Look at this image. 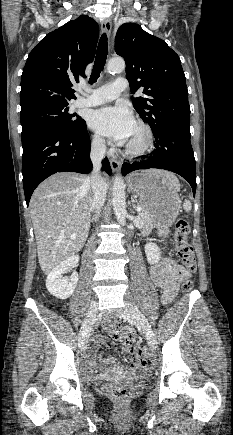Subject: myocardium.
Returning <instances> with one entry per match:
<instances>
[{"label":"myocardium","mask_w":233,"mask_h":435,"mask_svg":"<svg viewBox=\"0 0 233 435\" xmlns=\"http://www.w3.org/2000/svg\"><path fill=\"white\" fill-rule=\"evenodd\" d=\"M135 126L142 130L144 134V140L141 144L137 146H133L130 144H126L123 150V153L131 158L139 157L146 154L153 145L154 142V134L149 125L144 123L143 121H136Z\"/></svg>","instance_id":"obj_1"}]
</instances>
